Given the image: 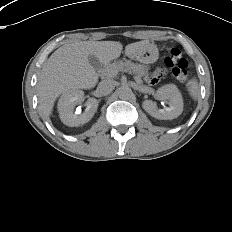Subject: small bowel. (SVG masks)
Segmentation results:
<instances>
[{
	"label": "small bowel",
	"mask_w": 232,
	"mask_h": 232,
	"mask_svg": "<svg viewBox=\"0 0 232 232\" xmlns=\"http://www.w3.org/2000/svg\"><path fill=\"white\" fill-rule=\"evenodd\" d=\"M167 74V67L164 64H159L154 70L153 74L146 80V85L149 88H154L160 83Z\"/></svg>",
	"instance_id": "small-bowel-1"
}]
</instances>
